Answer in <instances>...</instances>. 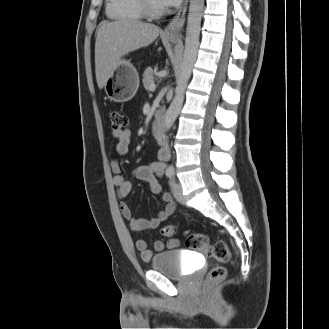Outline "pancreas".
<instances>
[{
	"label": "pancreas",
	"instance_id": "1",
	"mask_svg": "<svg viewBox=\"0 0 329 329\" xmlns=\"http://www.w3.org/2000/svg\"><path fill=\"white\" fill-rule=\"evenodd\" d=\"M155 71L151 67H148L143 73V85L146 90H149L151 83L154 82Z\"/></svg>",
	"mask_w": 329,
	"mask_h": 329
}]
</instances>
